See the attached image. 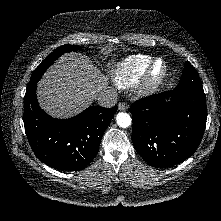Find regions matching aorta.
<instances>
[{"instance_id":"762f6f07","label":"aorta","mask_w":221,"mask_h":221,"mask_svg":"<svg viewBox=\"0 0 221 221\" xmlns=\"http://www.w3.org/2000/svg\"><path fill=\"white\" fill-rule=\"evenodd\" d=\"M116 122L118 126L127 128L131 125V117L128 113L120 112L116 116Z\"/></svg>"}]
</instances>
